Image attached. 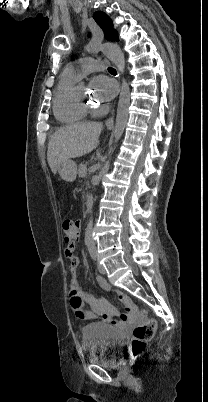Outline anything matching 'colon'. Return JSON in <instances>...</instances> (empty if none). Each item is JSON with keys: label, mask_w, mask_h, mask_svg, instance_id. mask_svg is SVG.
Instances as JSON below:
<instances>
[{"label": "colon", "mask_w": 208, "mask_h": 402, "mask_svg": "<svg viewBox=\"0 0 208 402\" xmlns=\"http://www.w3.org/2000/svg\"><path fill=\"white\" fill-rule=\"evenodd\" d=\"M76 220H73L71 218H65L62 223V232H63V237L64 240L69 243L73 237H75V224ZM71 307L73 309V312L78 315H84L85 313L83 312V301L80 296L74 295L70 299ZM157 321L155 318H146L144 321V324H139V326L135 327L133 331V339H132V352L134 357H138L141 355L146 347V343L150 341L154 334L156 333L157 327H156Z\"/></svg>", "instance_id": "colon-1"}]
</instances>
